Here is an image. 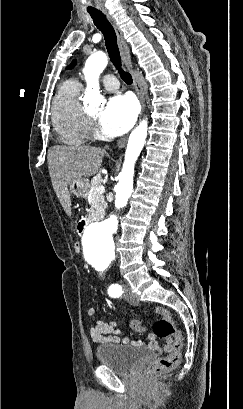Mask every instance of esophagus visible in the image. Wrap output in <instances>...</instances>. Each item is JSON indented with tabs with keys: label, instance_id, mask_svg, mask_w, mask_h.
I'll use <instances>...</instances> for the list:
<instances>
[{
	"label": "esophagus",
	"instance_id": "obj_1",
	"mask_svg": "<svg viewBox=\"0 0 243 409\" xmlns=\"http://www.w3.org/2000/svg\"><path fill=\"white\" fill-rule=\"evenodd\" d=\"M103 13L106 15L107 19L109 20V22L111 23V25L113 26V28L115 30V33H116V36H117V41H118V46H119V50H120V54H121L123 63H124V65L126 66V68L128 69V71L131 73V75L133 77V83H134L135 91H136V94H137L138 99H139L140 104H141V112H140V115H141L144 108H145L144 92H143L142 85H141V83L139 81V78H138L137 74L135 73V71L133 70L128 45L124 40L123 34H122L119 26L117 25L116 21L111 16V14L106 9H103ZM126 141H127V137H122L117 142V147L118 148H123L125 146V144H126Z\"/></svg>",
	"mask_w": 243,
	"mask_h": 409
}]
</instances>
